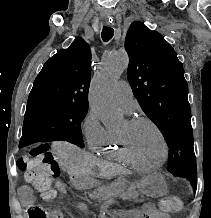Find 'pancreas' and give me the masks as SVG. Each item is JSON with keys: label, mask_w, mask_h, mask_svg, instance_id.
I'll return each mask as SVG.
<instances>
[{"label": "pancreas", "mask_w": 211, "mask_h": 218, "mask_svg": "<svg viewBox=\"0 0 211 218\" xmlns=\"http://www.w3.org/2000/svg\"><path fill=\"white\" fill-rule=\"evenodd\" d=\"M100 190L94 191V200H102V195H120L124 200H136L140 194H138L135 186H129V188H125V186H121V184H117V188L113 189V186H100ZM121 189V190H120Z\"/></svg>", "instance_id": "1"}]
</instances>
